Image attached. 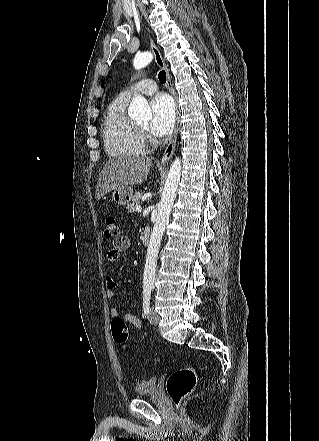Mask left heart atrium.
Wrapping results in <instances>:
<instances>
[{"instance_id":"obj_1","label":"left heart atrium","mask_w":319,"mask_h":441,"mask_svg":"<svg viewBox=\"0 0 319 441\" xmlns=\"http://www.w3.org/2000/svg\"><path fill=\"white\" fill-rule=\"evenodd\" d=\"M152 119L150 131L157 137H164L170 134L175 121V107L172 99L159 94L151 100Z\"/></svg>"}]
</instances>
